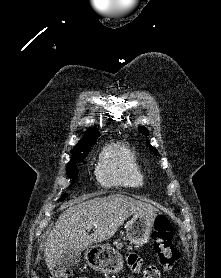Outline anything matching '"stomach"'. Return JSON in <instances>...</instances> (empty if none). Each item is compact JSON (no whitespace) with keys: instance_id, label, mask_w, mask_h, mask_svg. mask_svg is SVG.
Here are the masks:
<instances>
[{"instance_id":"stomach-1","label":"stomach","mask_w":221,"mask_h":278,"mask_svg":"<svg viewBox=\"0 0 221 278\" xmlns=\"http://www.w3.org/2000/svg\"><path fill=\"white\" fill-rule=\"evenodd\" d=\"M155 218L154 212L133 215L126 225V237L131 245L140 247L148 242ZM85 259L91 268L106 274L119 273L123 268L122 256L109 245L91 247Z\"/></svg>"}]
</instances>
